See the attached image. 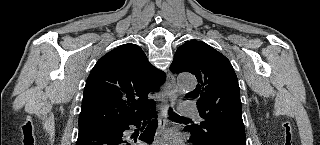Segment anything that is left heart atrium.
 <instances>
[{
    "label": "left heart atrium",
    "mask_w": 320,
    "mask_h": 145,
    "mask_svg": "<svg viewBox=\"0 0 320 145\" xmlns=\"http://www.w3.org/2000/svg\"><path fill=\"white\" fill-rule=\"evenodd\" d=\"M179 143V138L175 133H168L164 135L159 141L160 145H177Z\"/></svg>",
    "instance_id": "39dd6f15"
}]
</instances>
